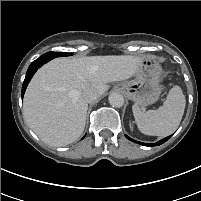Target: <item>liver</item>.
I'll list each match as a JSON object with an SVG mask.
<instances>
[{
	"label": "liver",
	"instance_id": "6515ba94",
	"mask_svg": "<svg viewBox=\"0 0 201 201\" xmlns=\"http://www.w3.org/2000/svg\"><path fill=\"white\" fill-rule=\"evenodd\" d=\"M144 57L107 55L56 58L41 67L29 83L23 114L29 127L46 144L65 146L82 135L88 110L83 91L98 96L107 83L123 81L136 74Z\"/></svg>",
	"mask_w": 201,
	"mask_h": 201
}]
</instances>
